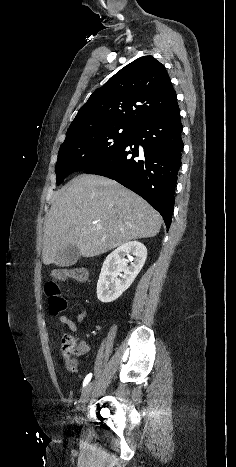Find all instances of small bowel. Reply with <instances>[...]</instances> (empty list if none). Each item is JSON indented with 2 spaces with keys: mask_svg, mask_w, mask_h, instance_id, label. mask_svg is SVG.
Segmentation results:
<instances>
[{
  "mask_svg": "<svg viewBox=\"0 0 236 467\" xmlns=\"http://www.w3.org/2000/svg\"><path fill=\"white\" fill-rule=\"evenodd\" d=\"M68 310L69 311H75L77 310L78 313L76 315V319L75 320H71L69 319L66 315H60L59 316V321L60 323L62 324H65L68 326V328L72 331V332H77L78 330V327L83 323V321L85 320L86 318V315H87V312H86V309L79 303H75V304H72L68 307ZM89 350V346L88 345H84V349H83V352H87Z\"/></svg>",
  "mask_w": 236,
  "mask_h": 467,
  "instance_id": "1",
  "label": "small bowel"
}]
</instances>
